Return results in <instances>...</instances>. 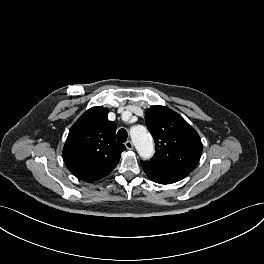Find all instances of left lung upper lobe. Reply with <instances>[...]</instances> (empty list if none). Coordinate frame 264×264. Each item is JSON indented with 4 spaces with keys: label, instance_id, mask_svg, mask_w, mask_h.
<instances>
[{
    "label": "left lung upper lobe",
    "instance_id": "left-lung-upper-lobe-1",
    "mask_svg": "<svg viewBox=\"0 0 264 264\" xmlns=\"http://www.w3.org/2000/svg\"><path fill=\"white\" fill-rule=\"evenodd\" d=\"M156 153L151 161L192 171L202 154L198 133L173 110L156 105L145 113Z\"/></svg>",
    "mask_w": 264,
    "mask_h": 264
}]
</instances>
